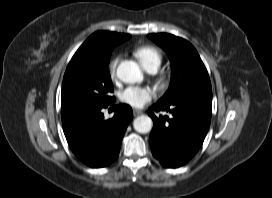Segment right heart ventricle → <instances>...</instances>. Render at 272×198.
Listing matches in <instances>:
<instances>
[{
    "label": "right heart ventricle",
    "mask_w": 272,
    "mask_h": 198,
    "mask_svg": "<svg viewBox=\"0 0 272 198\" xmlns=\"http://www.w3.org/2000/svg\"><path fill=\"white\" fill-rule=\"evenodd\" d=\"M134 55L145 69L158 68L162 61L160 50L153 46H140L134 50Z\"/></svg>",
    "instance_id": "obj_1"
}]
</instances>
